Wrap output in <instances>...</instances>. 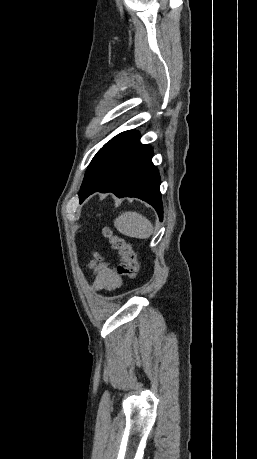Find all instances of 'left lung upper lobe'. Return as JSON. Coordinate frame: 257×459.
Returning <instances> with one entry per match:
<instances>
[{
	"instance_id": "1",
	"label": "left lung upper lobe",
	"mask_w": 257,
	"mask_h": 459,
	"mask_svg": "<svg viewBox=\"0 0 257 459\" xmlns=\"http://www.w3.org/2000/svg\"><path fill=\"white\" fill-rule=\"evenodd\" d=\"M99 168H100V154H99V151H98V153L92 159V161H91V163H90V165H89V167H88V169H87V171L85 173V177H84V180H83L80 192H79L80 201H82L85 193L87 192V190L90 188V186L94 182V180H95V178L97 176V173L99 171Z\"/></svg>"
}]
</instances>
